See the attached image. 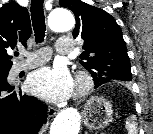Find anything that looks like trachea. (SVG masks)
<instances>
[{"instance_id": "trachea-1", "label": "trachea", "mask_w": 153, "mask_h": 134, "mask_svg": "<svg viewBox=\"0 0 153 134\" xmlns=\"http://www.w3.org/2000/svg\"><path fill=\"white\" fill-rule=\"evenodd\" d=\"M44 0H31V20L36 42H42L45 37L46 25L43 10ZM19 53H16L18 56Z\"/></svg>"}]
</instances>
